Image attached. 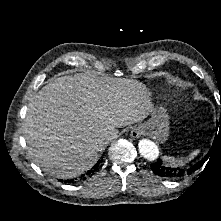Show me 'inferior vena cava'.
I'll return each instance as SVG.
<instances>
[{"instance_id": "inferior-vena-cava-1", "label": "inferior vena cava", "mask_w": 221, "mask_h": 221, "mask_svg": "<svg viewBox=\"0 0 221 221\" xmlns=\"http://www.w3.org/2000/svg\"><path fill=\"white\" fill-rule=\"evenodd\" d=\"M116 134L117 133L114 130H108L104 132L103 136L105 139L111 141L116 138Z\"/></svg>"}]
</instances>
